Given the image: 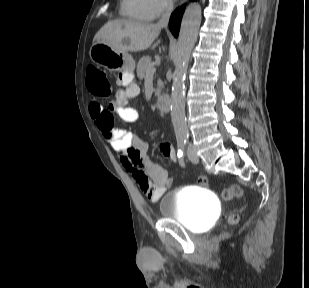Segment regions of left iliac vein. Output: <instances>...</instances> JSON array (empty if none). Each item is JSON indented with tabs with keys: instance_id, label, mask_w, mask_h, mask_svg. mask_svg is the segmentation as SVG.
<instances>
[{
	"instance_id": "1",
	"label": "left iliac vein",
	"mask_w": 309,
	"mask_h": 288,
	"mask_svg": "<svg viewBox=\"0 0 309 288\" xmlns=\"http://www.w3.org/2000/svg\"><path fill=\"white\" fill-rule=\"evenodd\" d=\"M188 158L193 163H197L199 161V158L192 147H189Z\"/></svg>"
}]
</instances>
